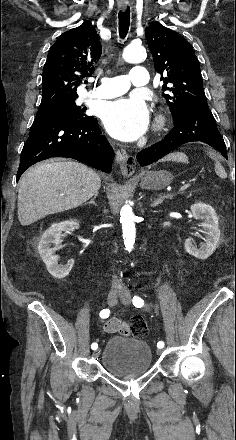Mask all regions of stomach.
I'll list each match as a JSON object with an SVG mask.
<instances>
[{
  "instance_id": "stomach-1",
  "label": "stomach",
  "mask_w": 236,
  "mask_h": 440,
  "mask_svg": "<svg viewBox=\"0 0 236 440\" xmlns=\"http://www.w3.org/2000/svg\"><path fill=\"white\" fill-rule=\"evenodd\" d=\"M173 175L166 171H148L140 181V186L147 190H159L171 184Z\"/></svg>"
}]
</instances>
